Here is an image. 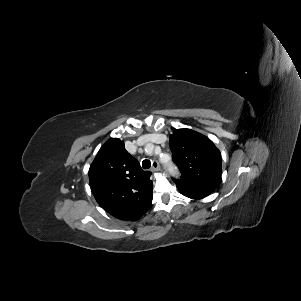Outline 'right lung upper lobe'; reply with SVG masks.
<instances>
[{"instance_id":"obj_1","label":"right lung upper lobe","mask_w":301,"mask_h":301,"mask_svg":"<svg viewBox=\"0 0 301 301\" xmlns=\"http://www.w3.org/2000/svg\"><path fill=\"white\" fill-rule=\"evenodd\" d=\"M151 173L118 138L108 140L97 153L89 169V182L98 204L120 220H137L152 202Z\"/></svg>"}]
</instances>
